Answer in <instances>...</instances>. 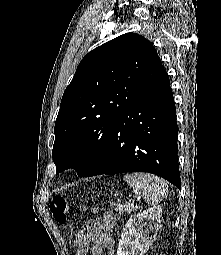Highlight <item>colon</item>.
Returning a JSON list of instances; mask_svg holds the SVG:
<instances>
[{
  "label": "colon",
  "mask_w": 221,
  "mask_h": 255,
  "mask_svg": "<svg viewBox=\"0 0 221 255\" xmlns=\"http://www.w3.org/2000/svg\"><path fill=\"white\" fill-rule=\"evenodd\" d=\"M50 211L59 224H65L70 213V206L62 197H55L51 200L49 205Z\"/></svg>",
  "instance_id": "obj_1"
}]
</instances>
